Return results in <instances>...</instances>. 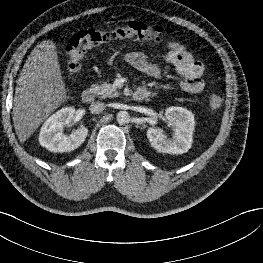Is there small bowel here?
Returning <instances> with one entry per match:
<instances>
[{"label": "small bowel", "instance_id": "obj_1", "mask_svg": "<svg viewBox=\"0 0 263 263\" xmlns=\"http://www.w3.org/2000/svg\"><path fill=\"white\" fill-rule=\"evenodd\" d=\"M168 49L164 62L175 67L183 78L182 89L190 94H198L205 87L202 79L203 64L194 59L191 53L179 42L171 41L166 44ZM126 62L145 75L157 78L162 73L161 65L151 61L141 52H129L125 55Z\"/></svg>", "mask_w": 263, "mask_h": 263}]
</instances>
